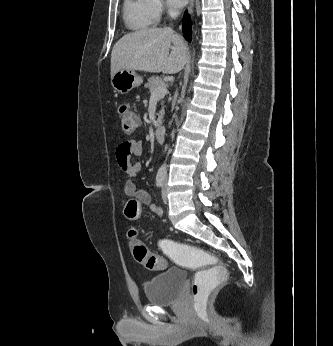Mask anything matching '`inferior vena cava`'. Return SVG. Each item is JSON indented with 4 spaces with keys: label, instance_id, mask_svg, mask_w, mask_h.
Returning a JSON list of instances; mask_svg holds the SVG:
<instances>
[{
    "label": "inferior vena cava",
    "instance_id": "obj_1",
    "mask_svg": "<svg viewBox=\"0 0 333 346\" xmlns=\"http://www.w3.org/2000/svg\"><path fill=\"white\" fill-rule=\"evenodd\" d=\"M177 15H178V11H176V10L170 12V16H171L172 18L177 17Z\"/></svg>",
    "mask_w": 333,
    "mask_h": 346
}]
</instances>
